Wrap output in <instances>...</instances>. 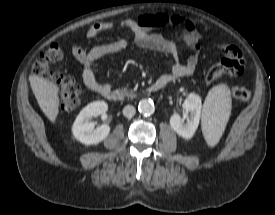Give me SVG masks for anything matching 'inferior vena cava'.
<instances>
[{"label":"inferior vena cava","instance_id":"1","mask_svg":"<svg viewBox=\"0 0 275 215\" xmlns=\"http://www.w3.org/2000/svg\"><path fill=\"white\" fill-rule=\"evenodd\" d=\"M135 113H136V109L132 105H127L123 108V115L125 117L131 118L135 115Z\"/></svg>","mask_w":275,"mask_h":215}]
</instances>
